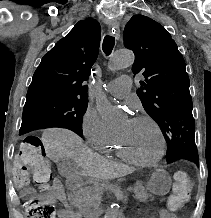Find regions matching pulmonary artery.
I'll return each mask as SVG.
<instances>
[{
  "label": "pulmonary artery",
  "mask_w": 211,
  "mask_h": 218,
  "mask_svg": "<svg viewBox=\"0 0 211 218\" xmlns=\"http://www.w3.org/2000/svg\"><path fill=\"white\" fill-rule=\"evenodd\" d=\"M122 79H130V78L129 76L124 75L110 82L107 86L108 92L116 97H124L127 93H129L130 88L133 86V81L122 80Z\"/></svg>",
  "instance_id": "pulmonary-artery-1"
}]
</instances>
